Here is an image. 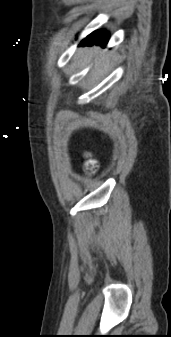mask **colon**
<instances>
[{
    "mask_svg": "<svg viewBox=\"0 0 171 337\" xmlns=\"http://www.w3.org/2000/svg\"><path fill=\"white\" fill-rule=\"evenodd\" d=\"M85 157L87 158V160L85 162V165H86L87 169H89L91 171L95 170L96 163L93 160L89 159V156L87 154L85 155Z\"/></svg>",
    "mask_w": 171,
    "mask_h": 337,
    "instance_id": "5ec220e1",
    "label": "colon"
}]
</instances>
